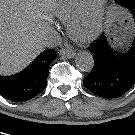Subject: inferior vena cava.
Listing matches in <instances>:
<instances>
[{
  "label": "inferior vena cava",
  "instance_id": "1",
  "mask_svg": "<svg viewBox=\"0 0 135 135\" xmlns=\"http://www.w3.org/2000/svg\"><path fill=\"white\" fill-rule=\"evenodd\" d=\"M61 42L58 32L51 30L42 36V45L47 48H55Z\"/></svg>",
  "mask_w": 135,
  "mask_h": 135
}]
</instances>
